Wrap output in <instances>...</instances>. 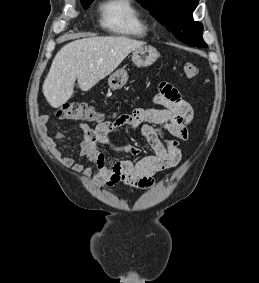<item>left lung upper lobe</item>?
<instances>
[{"instance_id": "obj_1", "label": "left lung upper lobe", "mask_w": 259, "mask_h": 283, "mask_svg": "<svg viewBox=\"0 0 259 283\" xmlns=\"http://www.w3.org/2000/svg\"><path fill=\"white\" fill-rule=\"evenodd\" d=\"M137 1L150 10L159 22L166 25L179 41L191 46L207 47L202 38V24L192 18L199 0Z\"/></svg>"}]
</instances>
